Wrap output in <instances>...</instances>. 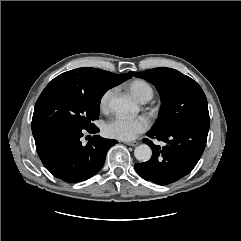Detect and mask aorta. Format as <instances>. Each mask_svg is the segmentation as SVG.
<instances>
[{
	"label": "aorta",
	"mask_w": 241,
	"mask_h": 241,
	"mask_svg": "<svg viewBox=\"0 0 241 241\" xmlns=\"http://www.w3.org/2000/svg\"><path fill=\"white\" fill-rule=\"evenodd\" d=\"M109 104L111 109L119 115H127L137 111V106L125 97H114ZM151 155V148L146 144L139 145L134 150V156L140 162L149 161Z\"/></svg>",
	"instance_id": "762f6f07"
}]
</instances>
